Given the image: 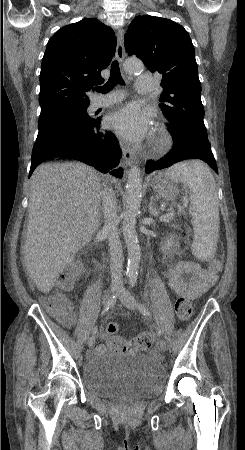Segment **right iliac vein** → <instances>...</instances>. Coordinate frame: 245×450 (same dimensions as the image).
Returning a JSON list of instances; mask_svg holds the SVG:
<instances>
[{"mask_svg":"<svg viewBox=\"0 0 245 450\" xmlns=\"http://www.w3.org/2000/svg\"><path fill=\"white\" fill-rule=\"evenodd\" d=\"M118 289H119V286H118V285H112V287H111L112 293H116V292L118 291ZM94 343H95V337L92 336V337L88 340L87 344H88V346L91 347V346L94 345Z\"/></svg>","mask_w":245,"mask_h":450,"instance_id":"1","label":"right iliac vein"}]
</instances>
